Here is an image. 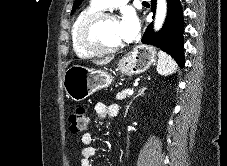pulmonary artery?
I'll use <instances>...</instances> for the list:
<instances>
[{
    "label": "pulmonary artery",
    "mask_w": 227,
    "mask_h": 166,
    "mask_svg": "<svg viewBox=\"0 0 227 166\" xmlns=\"http://www.w3.org/2000/svg\"><path fill=\"white\" fill-rule=\"evenodd\" d=\"M92 1L100 8L106 9L120 7L128 3L129 0H92Z\"/></svg>",
    "instance_id": "pulmonary-artery-1"
}]
</instances>
